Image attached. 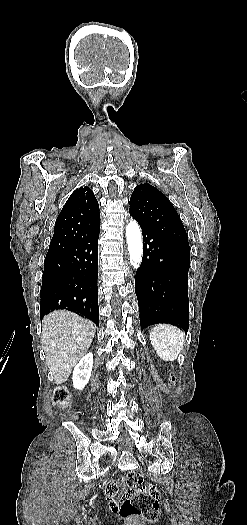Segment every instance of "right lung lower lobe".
<instances>
[{
  "label": "right lung lower lobe",
  "instance_id": "98d812e1",
  "mask_svg": "<svg viewBox=\"0 0 247 525\" xmlns=\"http://www.w3.org/2000/svg\"><path fill=\"white\" fill-rule=\"evenodd\" d=\"M99 231L63 251L46 255L40 291V318L66 309L99 325L98 237Z\"/></svg>",
  "mask_w": 247,
  "mask_h": 525
}]
</instances>
